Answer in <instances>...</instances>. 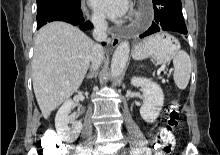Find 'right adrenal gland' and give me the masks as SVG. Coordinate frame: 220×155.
<instances>
[{"label":"right adrenal gland","mask_w":220,"mask_h":155,"mask_svg":"<svg viewBox=\"0 0 220 155\" xmlns=\"http://www.w3.org/2000/svg\"><path fill=\"white\" fill-rule=\"evenodd\" d=\"M93 77H94V73H91V74H89V75L86 76V79H91V78H93Z\"/></svg>","instance_id":"right-adrenal-gland-1"}]
</instances>
